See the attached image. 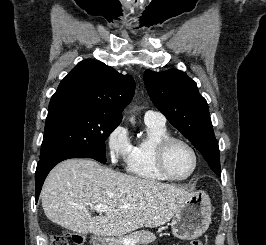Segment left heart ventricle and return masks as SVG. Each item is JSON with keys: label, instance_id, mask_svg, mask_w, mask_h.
I'll return each mask as SVG.
<instances>
[{"label": "left heart ventricle", "instance_id": "obj_1", "mask_svg": "<svg viewBox=\"0 0 266 245\" xmlns=\"http://www.w3.org/2000/svg\"><path fill=\"white\" fill-rule=\"evenodd\" d=\"M194 162V155L186 145L175 142L169 147L166 154V165L175 178L187 176L192 171Z\"/></svg>", "mask_w": 266, "mask_h": 245}]
</instances>
